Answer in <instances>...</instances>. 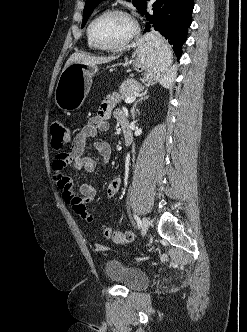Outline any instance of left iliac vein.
I'll return each instance as SVG.
<instances>
[{
	"instance_id": "left-iliac-vein-1",
	"label": "left iliac vein",
	"mask_w": 247,
	"mask_h": 332,
	"mask_svg": "<svg viewBox=\"0 0 247 332\" xmlns=\"http://www.w3.org/2000/svg\"><path fill=\"white\" fill-rule=\"evenodd\" d=\"M148 228H149V220L146 217H143L142 228H141V232H142L143 236L146 235Z\"/></svg>"
}]
</instances>
